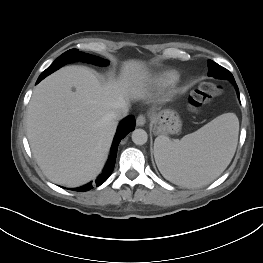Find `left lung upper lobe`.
Segmentation results:
<instances>
[{
  "label": "left lung upper lobe",
  "mask_w": 263,
  "mask_h": 263,
  "mask_svg": "<svg viewBox=\"0 0 263 263\" xmlns=\"http://www.w3.org/2000/svg\"><path fill=\"white\" fill-rule=\"evenodd\" d=\"M209 65H214V69L216 71V75L213 76L215 78H220V79H227L230 80L231 82H235L232 74L225 68H223L222 66L218 65L217 63L209 60L208 61ZM209 74V73H208Z\"/></svg>",
  "instance_id": "5c2ea615"
}]
</instances>
